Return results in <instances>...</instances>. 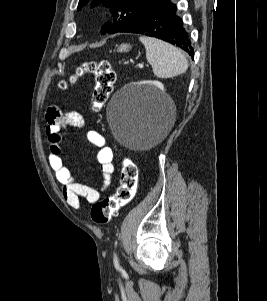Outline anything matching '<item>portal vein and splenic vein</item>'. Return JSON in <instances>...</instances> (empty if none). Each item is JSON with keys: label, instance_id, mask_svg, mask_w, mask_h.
<instances>
[{"label": "portal vein and splenic vein", "instance_id": "18ae733b", "mask_svg": "<svg viewBox=\"0 0 267 301\" xmlns=\"http://www.w3.org/2000/svg\"><path fill=\"white\" fill-rule=\"evenodd\" d=\"M139 68H143V64H138L137 65Z\"/></svg>", "mask_w": 267, "mask_h": 301}]
</instances>
